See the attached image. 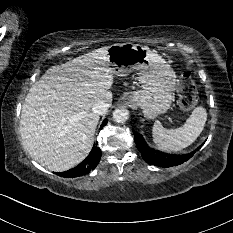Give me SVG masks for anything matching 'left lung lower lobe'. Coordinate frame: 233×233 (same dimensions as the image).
Here are the masks:
<instances>
[{
    "label": "left lung lower lobe",
    "mask_w": 233,
    "mask_h": 233,
    "mask_svg": "<svg viewBox=\"0 0 233 233\" xmlns=\"http://www.w3.org/2000/svg\"><path fill=\"white\" fill-rule=\"evenodd\" d=\"M132 131L138 150L140 151L143 159L149 164L160 167H172L187 161L195 153V151H193L186 155H173L157 151L150 148L140 134H138L135 130ZM201 146L202 145L198 147V150L201 148Z\"/></svg>",
    "instance_id": "obj_1"
}]
</instances>
